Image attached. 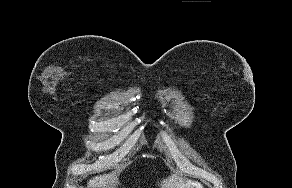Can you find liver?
<instances>
[{"label":"liver","instance_id":"liver-1","mask_svg":"<svg viewBox=\"0 0 292 188\" xmlns=\"http://www.w3.org/2000/svg\"><path fill=\"white\" fill-rule=\"evenodd\" d=\"M114 174H105L101 176H96L91 179L88 183L90 188H101L113 181ZM184 182V179L177 174H173L168 177L166 180L161 182V188H180L181 184Z\"/></svg>","mask_w":292,"mask_h":188}]
</instances>
